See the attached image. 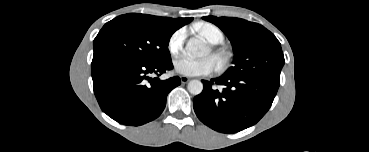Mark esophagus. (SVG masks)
Listing matches in <instances>:
<instances>
[{"label": "esophagus", "instance_id": "esophagus-1", "mask_svg": "<svg viewBox=\"0 0 369 152\" xmlns=\"http://www.w3.org/2000/svg\"><path fill=\"white\" fill-rule=\"evenodd\" d=\"M180 80L183 84L187 83L190 79L186 76H180Z\"/></svg>", "mask_w": 369, "mask_h": 152}]
</instances>
